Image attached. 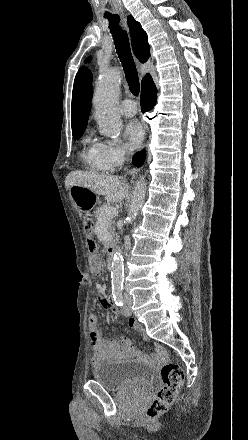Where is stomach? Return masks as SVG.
<instances>
[{"label":"stomach","instance_id":"obj_1","mask_svg":"<svg viewBox=\"0 0 248 440\" xmlns=\"http://www.w3.org/2000/svg\"><path fill=\"white\" fill-rule=\"evenodd\" d=\"M69 196L78 211H88L98 202L96 193L79 185H72L69 188Z\"/></svg>","mask_w":248,"mask_h":440}]
</instances>
